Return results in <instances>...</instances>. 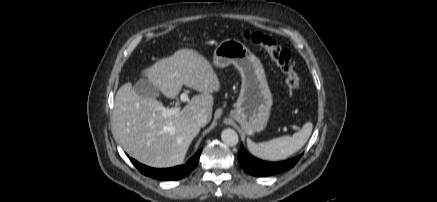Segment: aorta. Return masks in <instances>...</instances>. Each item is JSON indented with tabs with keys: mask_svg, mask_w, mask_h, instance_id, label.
I'll list each match as a JSON object with an SVG mask.
<instances>
[{
	"mask_svg": "<svg viewBox=\"0 0 437 202\" xmlns=\"http://www.w3.org/2000/svg\"><path fill=\"white\" fill-rule=\"evenodd\" d=\"M221 139L228 146H235L238 144L239 141V137L236 131L230 128L224 129L222 131Z\"/></svg>",
	"mask_w": 437,
	"mask_h": 202,
	"instance_id": "aorta-1",
	"label": "aorta"
}]
</instances>
